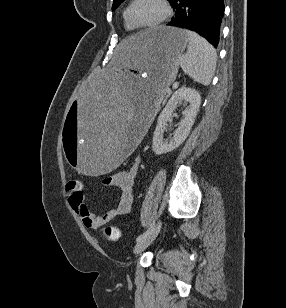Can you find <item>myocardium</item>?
I'll list each match as a JSON object with an SVG mask.
<instances>
[{
	"label": "myocardium",
	"instance_id": "obj_1",
	"mask_svg": "<svg viewBox=\"0 0 286 308\" xmlns=\"http://www.w3.org/2000/svg\"><path fill=\"white\" fill-rule=\"evenodd\" d=\"M137 2V0H131L128 7L126 8V20L129 23L131 27L134 29H152L159 27L162 25L171 15V7L168 3L167 0H159L160 5L162 6L163 9V14L162 16L155 22L150 23V24H144V25H138L136 24L132 18H131V10L133 5Z\"/></svg>",
	"mask_w": 286,
	"mask_h": 308
}]
</instances>
